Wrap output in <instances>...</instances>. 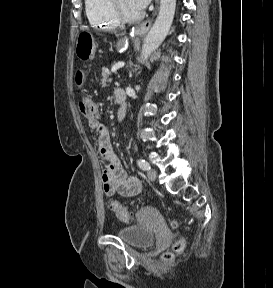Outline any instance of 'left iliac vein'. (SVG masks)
Segmentation results:
<instances>
[{
	"mask_svg": "<svg viewBox=\"0 0 273 288\" xmlns=\"http://www.w3.org/2000/svg\"><path fill=\"white\" fill-rule=\"evenodd\" d=\"M147 176L150 181H155L157 178V172L154 169H150L147 172Z\"/></svg>",
	"mask_w": 273,
	"mask_h": 288,
	"instance_id": "1",
	"label": "left iliac vein"
}]
</instances>
